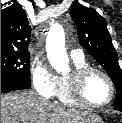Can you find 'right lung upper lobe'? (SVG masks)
Listing matches in <instances>:
<instances>
[{
	"mask_svg": "<svg viewBox=\"0 0 122 123\" xmlns=\"http://www.w3.org/2000/svg\"><path fill=\"white\" fill-rule=\"evenodd\" d=\"M31 27L17 1L1 10V51L29 53Z\"/></svg>",
	"mask_w": 122,
	"mask_h": 123,
	"instance_id": "right-lung-upper-lobe-1",
	"label": "right lung upper lobe"
}]
</instances>
